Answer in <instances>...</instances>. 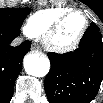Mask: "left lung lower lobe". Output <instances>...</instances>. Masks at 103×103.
I'll return each mask as SVG.
<instances>
[{"instance_id": "obj_1", "label": "left lung lower lobe", "mask_w": 103, "mask_h": 103, "mask_svg": "<svg viewBox=\"0 0 103 103\" xmlns=\"http://www.w3.org/2000/svg\"><path fill=\"white\" fill-rule=\"evenodd\" d=\"M51 69L45 91L51 103H90L103 80V40L99 27L91 23L79 48L65 54L48 53Z\"/></svg>"}]
</instances>
